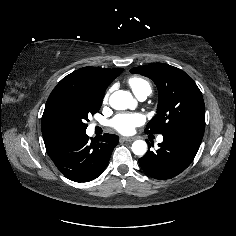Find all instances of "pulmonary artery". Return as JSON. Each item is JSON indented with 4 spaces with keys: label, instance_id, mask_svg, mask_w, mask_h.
<instances>
[{
    "label": "pulmonary artery",
    "instance_id": "pulmonary-artery-1",
    "mask_svg": "<svg viewBox=\"0 0 236 236\" xmlns=\"http://www.w3.org/2000/svg\"><path fill=\"white\" fill-rule=\"evenodd\" d=\"M146 98H147L146 95L138 96V99L141 100V101L145 100ZM157 141H158V142H162V141H163V136H161V135L158 136Z\"/></svg>",
    "mask_w": 236,
    "mask_h": 236
}]
</instances>
